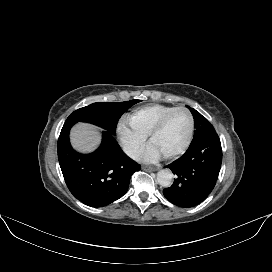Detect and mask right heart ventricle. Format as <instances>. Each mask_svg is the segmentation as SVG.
<instances>
[{"label": "right heart ventricle", "mask_w": 272, "mask_h": 272, "mask_svg": "<svg viewBox=\"0 0 272 272\" xmlns=\"http://www.w3.org/2000/svg\"><path fill=\"white\" fill-rule=\"evenodd\" d=\"M172 108L174 107L165 104L143 105L135 108L127 116V120L134 130L147 136L157 120Z\"/></svg>", "instance_id": "obj_1"}]
</instances>
